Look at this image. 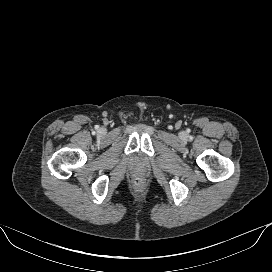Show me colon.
Listing matches in <instances>:
<instances>
[{
	"instance_id": "colon-1",
	"label": "colon",
	"mask_w": 272,
	"mask_h": 272,
	"mask_svg": "<svg viewBox=\"0 0 272 272\" xmlns=\"http://www.w3.org/2000/svg\"><path fill=\"white\" fill-rule=\"evenodd\" d=\"M134 183H135L136 185H141V184H142V179L139 178V177H136V178L134 179Z\"/></svg>"
}]
</instances>
